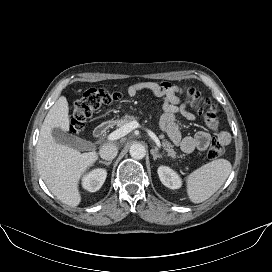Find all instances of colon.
Instances as JSON below:
<instances>
[{"mask_svg": "<svg viewBox=\"0 0 272 272\" xmlns=\"http://www.w3.org/2000/svg\"><path fill=\"white\" fill-rule=\"evenodd\" d=\"M185 103L197 110L199 114L207 119L215 118L217 107L207 97L203 96L195 88L187 87L184 89ZM120 98V93L109 91L105 88H91L85 91L80 97L74 100L71 128L74 132L83 128L85 122L92 114L103 106L109 105ZM224 153V146L217 139L212 140L208 157L217 159Z\"/></svg>", "mask_w": 272, "mask_h": 272, "instance_id": "1", "label": "colon"}]
</instances>
